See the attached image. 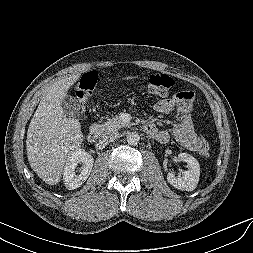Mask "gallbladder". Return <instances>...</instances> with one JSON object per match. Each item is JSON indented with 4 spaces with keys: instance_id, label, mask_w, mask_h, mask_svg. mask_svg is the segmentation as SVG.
<instances>
[{
    "instance_id": "gallbladder-1",
    "label": "gallbladder",
    "mask_w": 253,
    "mask_h": 253,
    "mask_svg": "<svg viewBox=\"0 0 253 253\" xmlns=\"http://www.w3.org/2000/svg\"><path fill=\"white\" fill-rule=\"evenodd\" d=\"M61 105L67 117L76 118L80 115V105L75 97L66 95L61 101Z\"/></svg>"
}]
</instances>
